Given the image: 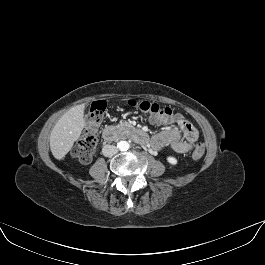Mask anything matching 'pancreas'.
I'll use <instances>...</instances> for the list:
<instances>
[{
    "label": "pancreas",
    "instance_id": "cf45deb5",
    "mask_svg": "<svg viewBox=\"0 0 265 265\" xmlns=\"http://www.w3.org/2000/svg\"><path fill=\"white\" fill-rule=\"evenodd\" d=\"M124 126V127H129L130 125L128 123L122 124V125H118L117 128Z\"/></svg>",
    "mask_w": 265,
    "mask_h": 265
}]
</instances>
